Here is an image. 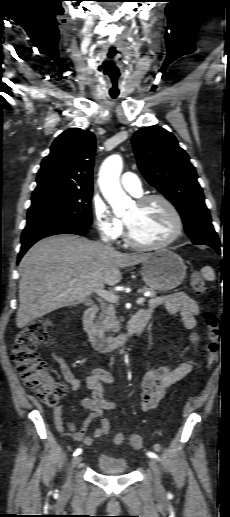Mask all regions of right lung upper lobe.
<instances>
[{
    "label": "right lung upper lobe",
    "instance_id": "cb5924a9",
    "mask_svg": "<svg viewBox=\"0 0 230 517\" xmlns=\"http://www.w3.org/2000/svg\"><path fill=\"white\" fill-rule=\"evenodd\" d=\"M95 137L90 131L72 128L53 142L50 154L37 173L32 199L45 195L92 190Z\"/></svg>",
    "mask_w": 230,
    "mask_h": 517
}]
</instances>
